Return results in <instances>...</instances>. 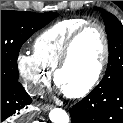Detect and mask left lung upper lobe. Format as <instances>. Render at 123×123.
<instances>
[{"label":"left lung upper lobe","mask_w":123,"mask_h":123,"mask_svg":"<svg viewBox=\"0 0 123 123\" xmlns=\"http://www.w3.org/2000/svg\"><path fill=\"white\" fill-rule=\"evenodd\" d=\"M103 20L108 37L109 60L105 77L98 87H110L123 81V26L111 13L103 11Z\"/></svg>","instance_id":"1"}]
</instances>
